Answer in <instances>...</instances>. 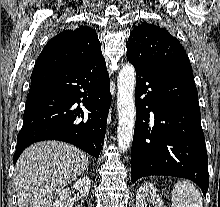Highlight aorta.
<instances>
[{
	"instance_id": "aorta-1",
	"label": "aorta",
	"mask_w": 220,
	"mask_h": 207,
	"mask_svg": "<svg viewBox=\"0 0 220 207\" xmlns=\"http://www.w3.org/2000/svg\"><path fill=\"white\" fill-rule=\"evenodd\" d=\"M117 81V110L119 118L117 141L120 152H125L132 143L136 118L134 100L136 72L133 65L125 64L118 74Z\"/></svg>"
}]
</instances>
